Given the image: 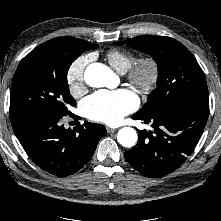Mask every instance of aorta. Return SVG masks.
I'll return each instance as SVG.
<instances>
[{"mask_svg":"<svg viewBox=\"0 0 221 221\" xmlns=\"http://www.w3.org/2000/svg\"><path fill=\"white\" fill-rule=\"evenodd\" d=\"M84 79L89 86L99 88L110 86L115 80V75L106 65L92 63L87 66ZM137 139V132L134 128L123 127L118 131L117 140L123 147H133Z\"/></svg>","mask_w":221,"mask_h":221,"instance_id":"obj_1","label":"aorta"}]
</instances>
